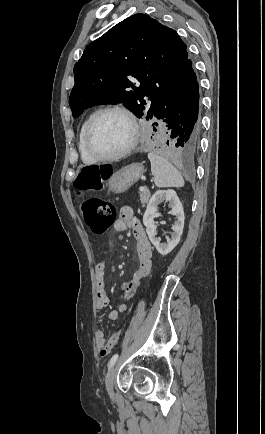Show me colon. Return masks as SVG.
I'll use <instances>...</instances> for the list:
<instances>
[{
    "instance_id": "colon-1",
    "label": "colon",
    "mask_w": 265,
    "mask_h": 434,
    "mask_svg": "<svg viewBox=\"0 0 265 434\" xmlns=\"http://www.w3.org/2000/svg\"><path fill=\"white\" fill-rule=\"evenodd\" d=\"M110 170L109 164H87L86 168H79L77 180H74L75 191L86 193L88 189H99L101 173H109ZM78 211L93 235L103 234L117 219L113 203L104 198H88L78 204ZM118 339L119 334H116L102 346V351L98 352L101 360H106L112 354L111 349Z\"/></svg>"
}]
</instances>
